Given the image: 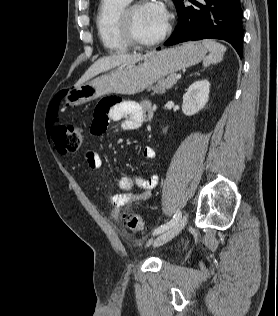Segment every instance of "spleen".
<instances>
[{
    "label": "spleen",
    "mask_w": 278,
    "mask_h": 316,
    "mask_svg": "<svg viewBox=\"0 0 278 316\" xmlns=\"http://www.w3.org/2000/svg\"><path fill=\"white\" fill-rule=\"evenodd\" d=\"M202 45L210 52V54L203 60V65L205 67L222 61L223 55L226 51V47L224 45L211 39L203 40Z\"/></svg>",
    "instance_id": "spleen-1"
}]
</instances>
